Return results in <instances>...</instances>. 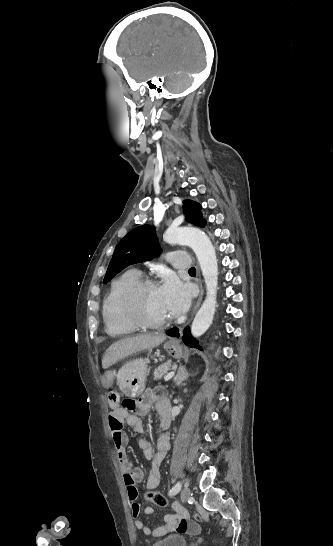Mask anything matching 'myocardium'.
<instances>
[{
  "label": "myocardium",
  "mask_w": 333,
  "mask_h": 546,
  "mask_svg": "<svg viewBox=\"0 0 333 546\" xmlns=\"http://www.w3.org/2000/svg\"><path fill=\"white\" fill-rule=\"evenodd\" d=\"M157 287L152 279H139L129 285L122 294L121 307L126 317L137 327L144 329H161L170 324V319L152 321L144 316L141 310V297L149 289Z\"/></svg>",
  "instance_id": "f54148a6"
}]
</instances>
